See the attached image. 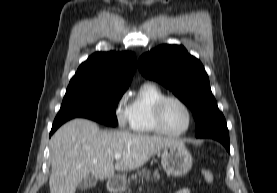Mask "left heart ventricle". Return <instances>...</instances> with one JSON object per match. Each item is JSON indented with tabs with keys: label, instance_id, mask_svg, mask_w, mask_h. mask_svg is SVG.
<instances>
[{
	"label": "left heart ventricle",
	"instance_id": "left-heart-ventricle-1",
	"mask_svg": "<svg viewBox=\"0 0 277 193\" xmlns=\"http://www.w3.org/2000/svg\"><path fill=\"white\" fill-rule=\"evenodd\" d=\"M163 119L166 128L170 131L183 130L188 123L186 110L176 101H168L163 109Z\"/></svg>",
	"mask_w": 277,
	"mask_h": 193
}]
</instances>
